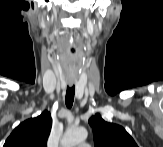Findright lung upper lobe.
<instances>
[{
  "instance_id": "obj_1",
  "label": "right lung upper lobe",
  "mask_w": 163,
  "mask_h": 147,
  "mask_svg": "<svg viewBox=\"0 0 163 147\" xmlns=\"http://www.w3.org/2000/svg\"><path fill=\"white\" fill-rule=\"evenodd\" d=\"M52 127L48 111L20 123L7 138L4 147H46Z\"/></svg>"
}]
</instances>
